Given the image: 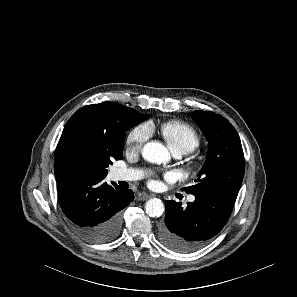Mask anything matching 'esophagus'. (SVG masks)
Here are the masks:
<instances>
[{"label": "esophagus", "instance_id": "34e87169", "mask_svg": "<svg viewBox=\"0 0 297 297\" xmlns=\"http://www.w3.org/2000/svg\"><path fill=\"white\" fill-rule=\"evenodd\" d=\"M151 196L149 194H146V193H138L136 195V199L138 201H145V200H148Z\"/></svg>", "mask_w": 297, "mask_h": 297}]
</instances>
